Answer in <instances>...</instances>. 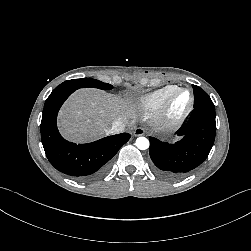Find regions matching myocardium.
Returning a JSON list of instances; mask_svg holds the SVG:
<instances>
[{
  "mask_svg": "<svg viewBox=\"0 0 251 251\" xmlns=\"http://www.w3.org/2000/svg\"><path fill=\"white\" fill-rule=\"evenodd\" d=\"M185 93L188 95L187 104L177 113L171 110L172 103L175 97L179 94ZM194 105V96L189 89L176 88L163 101L155 114V123L159 128L165 130H173L178 128L191 112Z\"/></svg>",
  "mask_w": 251,
  "mask_h": 251,
  "instance_id": "myocardium-1",
  "label": "myocardium"
}]
</instances>
